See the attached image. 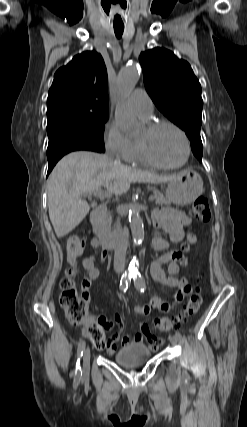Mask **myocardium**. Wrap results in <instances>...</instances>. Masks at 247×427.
Listing matches in <instances>:
<instances>
[{
	"label": "myocardium",
	"instance_id": "obj_1",
	"mask_svg": "<svg viewBox=\"0 0 247 427\" xmlns=\"http://www.w3.org/2000/svg\"><path fill=\"white\" fill-rule=\"evenodd\" d=\"M162 127H170L172 129H174L181 136L183 143H184V148H185V154H184L183 160L180 163L175 164V165L163 164V163L157 161L152 156V154L150 153L149 148L145 142L138 141V145H139L141 154H142L143 158L148 162V164H150L154 167L161 168V169H167V170H174V169L182 168L188 162L189 157H190L191 147H190L189 138H188L187 134L185 133V131L181 127H179L177 124H175L171 121H168V120H160V121L151 122L147 125L146 129L149 133H153Z\"/></svg>",
	"mask_w": 247,
	"mask_h": 427
}]
</instances>
